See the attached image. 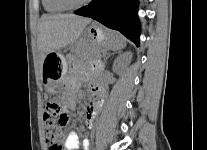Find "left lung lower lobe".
Here are the masks:
<instances>
[{
    "instance_id": "obj_1",
    "label": "left lung lower lobe",
    "mask_w": 207,
    "mask_h": 150,
    "mask_svg": "<svg viewBox=\"0 0 207 150\" xmlns=\"http://www.w3.org/2000/svg\"><path fill=\"white\" fill-rule=\"evenodd\" d=\"M138 0H93L74 13L91 17L103 25L120 31L140 45V22L137 17Z\"/></svg>"
}]
</instances>
